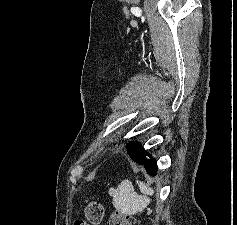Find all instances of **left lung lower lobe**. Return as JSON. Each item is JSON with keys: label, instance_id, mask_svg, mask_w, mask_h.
Segmentation results:
<instances>
[{"label": "left lung lower lobe", "instance_id": "1", "mask_svg": "<svg viewBox=\"0 0 237 225\" xmlns=\"http://www.w3.org/2000/svg\"><path fill=\"white\" fill-rule=\"evenodd\" d=\"M127 153L136 163L143 165L146 172L151 175H157L156 160L141 145V143L131 141L126 144Z\"/></svg>", "mask_w": 237, "mask_h": 225}]
</instances>
